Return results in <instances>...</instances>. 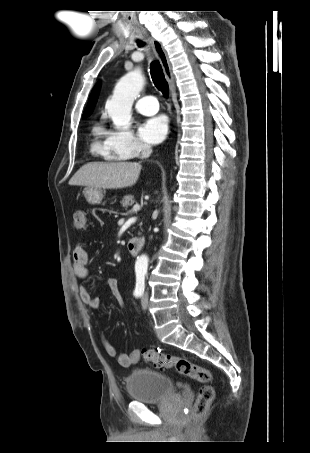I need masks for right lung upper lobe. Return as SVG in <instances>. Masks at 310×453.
Instances as JSON below:
<instances>
[{
  "label": "right lung upper lobe",
  "instance_id": "right-lung-upper-lobe-1",
  "mask_svg": "<svg viewBox=\"0 0 310 453\" xmlns=\"http://www.w3.org/2000/svg\"><path fill=\"white\" fill-rule=\"evenodd\" d=\"M99 87H100V84L98 83L92 90L91 94H90V97H89V101H88V105L83 113V116L82 118L85 119L88 115L91 114L95 104H96V101H97V97H98V92H99Z\"/></svg>",
  "mask_w": 310,
  "mask_h": 453
}]
</instances>
